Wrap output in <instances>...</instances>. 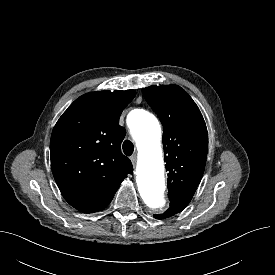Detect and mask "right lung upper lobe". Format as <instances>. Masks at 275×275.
<instances>
[{
	"mask_svg": "<svg viewBox=\"0 0 275 275\" xmlns=\"http://www.w3.org/2000/svg\"><path fill=\"white\" fill-rule=\"evenodd\" d=\"M134 90L99 91L75 100L51 135V168L65 200L84 213L97 212L112 200L132 163L121 153L126 135L119 117Z\"/></svg>",
	"mask_w": 275,
	"mask_h": 275,
	"instance_id": "cb5924a9",
	"label": "right lung upper lobe"
}]
</instances>
